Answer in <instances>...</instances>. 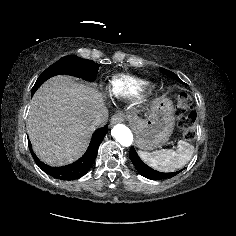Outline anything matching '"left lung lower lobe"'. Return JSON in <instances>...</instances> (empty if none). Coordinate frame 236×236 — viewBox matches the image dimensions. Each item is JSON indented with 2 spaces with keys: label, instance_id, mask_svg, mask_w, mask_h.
<instances>
[{
  "label": "left lung lower lobe",
  "instance_id": "obj_1",
  "mask_svg": "<svg viewBox=\"0 0 236 236\" xmlns=\"http://www.w3.org/2000/svg\"><path fill=\"white\" fill-rule=\"evenodd\" d=\"M129 157L132 163L134 164L135 168L137 171L144 177L151 179V180H161V179H166V178H171L178 173H180L182 170L177 171V172H172V173H162L153 170L149 166H147L138 156L137 152L135 151L134 147H131L130 152H129ZM149 170H153V172H150ZM154 173V175L150 174Z\"/></svg>",
  "mask_w": 236,
  "mask_h": 236
}]
</instances>
